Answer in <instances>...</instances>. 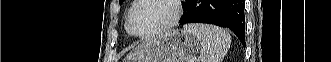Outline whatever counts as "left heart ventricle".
<instances>
[{
  "instance_id": "1",
  "label": "left heart ventricle",
  "mask_w": 331,
  "mask_h": 62,
  "mask_svg": "<svg viewBox=\"0 0 331 62\" xmlns=\"http://www.w3.org/2000/svg\"><path fill=\"white\" fill-rule=\"evenodd\" d=\"M174 13L169 0H144L133 11L132 24L138 33L150 32L166 24Z\"/></svg>"
}]
</instances>
